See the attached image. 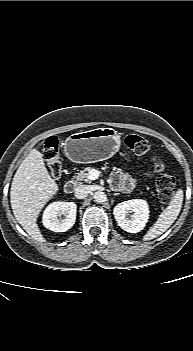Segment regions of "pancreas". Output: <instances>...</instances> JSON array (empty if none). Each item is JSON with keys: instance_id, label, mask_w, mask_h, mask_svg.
Wrapping results in <instances>:
<instances>
[{"instance_id": "cf45deb5", "label": "pancreas", "mask_w": 193, "mask_h": 351, "mask_svg": "<svg viewBox=\"0 0 193 351\" xmlns=\"http://www.w3.org/2000/svg\"><path fill=\"white\" fill-rule=\"evenodd\" d=\"M94 168L92 167H86L83 170H81L79 173H77V175L74 177L75 178V182L79 183V182H90L91 180L88 178L89 172L91 170H93Z\"/></svg>"}]
</instances>
